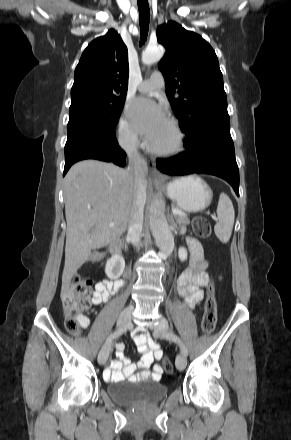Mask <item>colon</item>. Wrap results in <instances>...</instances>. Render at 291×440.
Wrapping results in <instances>:
<instances>
[{
    "label": "colon",
    "instance_id": "obj_1",
    "mask_svg": "<svg viewBox=\"0 0 291 440\" xmlns=\"http://www.w3.org/2000/svg\"><path fill=\"white\" fill-rule=\"evenodd\" d=\"M193 232L200 238H207L211 234V227L208 220L203 216H197L192 224ZM93 281L85 276H76L72 281L62 287L61 301L63 313L66 317L65 327L73 335L80 332L78 318L84 316L91 307V293ZM217 307L213 296L207 299L205 311L201 323L204 333H210L216 325ZM163 367L167 373H174V364L169 358L163 359Z\"/></svg>",
    "mask_w": 291,
    "mask_h": 440
}]
</instances>
